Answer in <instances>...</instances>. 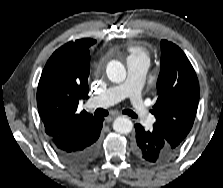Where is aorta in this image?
I'll return each mask as SVG.
<instances>
[{
  "label": "aorta",
  "mask_w": 223,
  "mask_h": 188,
  "mask_svg": "<svg viewBox=\"0 0 223 188\" xmlns=\"http://www.w3.org/2000/svg\"><path fill=\"white\" fill-rule=\"evenodd\" d=\"M106 73L109 80L114 83H121L126 78V69L124 65L117 60H112L107 64ZM132 128V121L125 116L117 117L113 122L114 131L120 134H128L132 131Z\"/></svg>",
  "instance_id": "obj_1"
}]
</instances>
